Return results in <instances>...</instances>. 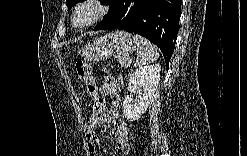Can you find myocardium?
I'll list each match as a JSON object with an SVG mask.
<instances>
[{"label": "myocardium", "instance_id": "f54148a6", "mask_svg": "<svg viewBox=\"0 0 247 156\" xmlns=\"http://www.w3.org/2000/svg\"><path fill=\"white\" fill-rule=\"evenodd\" d=\"M84 7H92L95 10V13L93 15V17L88 20L87 22L83 23V24H78L76 22V17L78 12L84 8ZM107 13V7L105 5V3H103L102 1L99 0H85L82 2H79L71 15V23L75 28L78 29H84L87 28L93 24H95L96 22H98L100 19H102Z\"/></svg>", "mask_w": 247, "mask_h": 156}]
</instances>
